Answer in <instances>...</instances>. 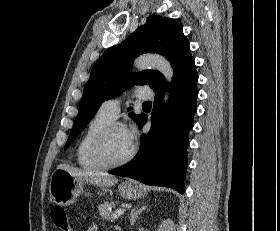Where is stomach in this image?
I'll use <instances>...</instances> for the list:
<instances>
[{
	"label": "stomach",
	"mask_w": 280,
	"mask_h": 231,
	"mask_svg": "<svg viewBox=\"0 0 280 231\" xmlns=\"http://www.w3.org/2000/svg\"><path fill=\"white\" fill-rule=\"evenodd\" d=\"M85 183V179L73 177L65 169H55L49 183L50 197L55 203H59V205H69V203L75 201L78 195L83 193ZM118 189L122 197H126V199H139V197L145 195L143 189H140L136 185V181H132V179L123 181Z\"/></svg>",
	"instance_id": "obj_1"
}]
</instances>
